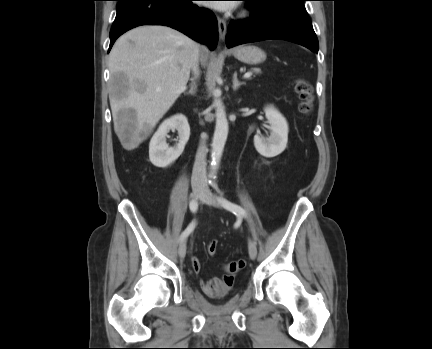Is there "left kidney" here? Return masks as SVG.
Returning <instances> with one entry per match:
<instances>
[{
  "instance_id": "left-kidney-1",
  "label": "left kidney",
  "mask_w": 432,
  "mask_h": 349,
  "mask_svg": "<svg viewBox=\"0 0 432 349\" xmlns=\"http://www.w3.org/2000/svg\"><path fill=\"white\" fill-rule=\"evenodd\" d=\"M267 121L270 125V136L264 138L260 135L254 136V146L257 152L266 157L273 158L281 154L288 142V123L283 115L273 106L264 108Z\"/></svg>"
}]
</instances>
